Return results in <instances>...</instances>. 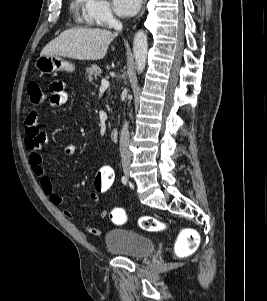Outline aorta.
<instances>
[{
  "label": "aorta",
  "mask_w": 267,
  "mask_h": 301,
  "mask_svg": "<svg viewBox=\"0 0 267 301\" xmlns=\"http://www.w3.org/2000/svg\"><path fill=\"white\" fill-rule=\"evenodd\" d=\"M148 43L147 34L140 30L135 34L133 41V52L138 73H142L145 69L147 59Z\"/></svg>",
  "instance_id": "1"
}]
</instances>
